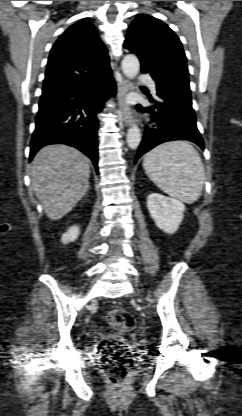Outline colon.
Instances as JSON below:
<instances>
[{"label": "colon", "mask_w": 242, "mask_h": 416, "mask_svg": "<svg viewBox=\"0 0 242 416\" xmlns=\"http://www.w3.org/2000/svg\"><path fill=\"white\" fill-rule=\"evenodd\" d=\"M113 334L101 338L97 348L105 372L113 384L122 382L131 372L134 360L123 336L135 327L134 317L125 309H113L107 315Z\"/></svg>", "instance_id": "obj_1"}]
</instances>
